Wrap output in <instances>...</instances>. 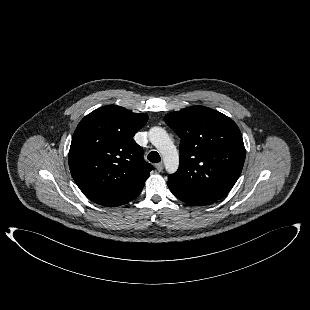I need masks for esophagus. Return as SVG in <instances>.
<instances>
[{"mask_svg":"<svg viewBox=\"0 0 310 310\" xmlns=\"http://www.w3.org/2000/svg\"><path fill=\"white\" fill-rule=\"evenodd\" d=\"M155 167H156V169H157L159 172H161V171L163 170V168H164L163 163H157V164L155 165Z\"/></svg>","mask_w":310,"mask_h":310,"instance_id":"esophagus-1","label":"esophagus"}]
</instances>
